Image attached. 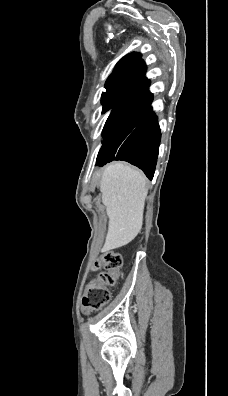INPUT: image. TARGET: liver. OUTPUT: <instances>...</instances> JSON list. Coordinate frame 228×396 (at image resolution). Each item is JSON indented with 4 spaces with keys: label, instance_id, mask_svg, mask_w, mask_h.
Returning a JSON list of instances; mask_svg holds the SVG:
<instances>
[{
    "label": "liver",
    "instance_id": "1",
    "mask_svg": "<svg viewBox=\"0 0 228 396\" xmlns=\"http://www.w3.org/2000/svg\"><path fill=\"white\" fill-rule=\"evenodd\" d=\"M100 191L109 218L102 251H109L128 244L141 231L148 193L146 178L128 164L112 163L103 172Z\"/></svg>",
    "mask_w": 228,
    "mask_h": 396
}]
</instances>
